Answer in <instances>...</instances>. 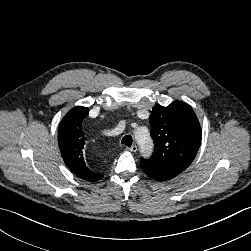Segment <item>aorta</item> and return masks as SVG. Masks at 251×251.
Masks as SVG:
<instances>
[{
	"mask_svg": "<svg viewBox=\"0 0 251 251\" xmlns=\"http://www.w3.org/2000/svg\"><path fill=\"white\" fill-rule=\"evenodd\" d=\"M136 140L140 146V151L143 156L149 157L153 150V143L148 133H136Z\"/></svg>",
	"mask_w": 251,
	"mask_h": 251,
	"instance_id": "762f6f07",
	"label": "aorta"
}]
</instances>
